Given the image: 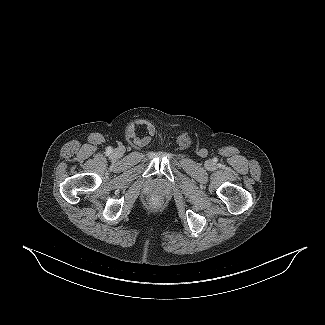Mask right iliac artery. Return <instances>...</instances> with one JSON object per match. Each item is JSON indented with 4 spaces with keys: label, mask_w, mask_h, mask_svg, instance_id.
I'll return each instance as SVG.
<instances>
[{
    "label": "right iliac artery",
    "mask_w": 325,
    "mask_h": 325,
    "mask_svg": "<svg viewBox=\"0 0 325 325\" xmlns=\"http://www.w3.org/2000/svg\"><path fill=\"white\" fill-rule=\"evenodd\" d=\"M106 151H107V153H111L112 152V148L111 147H107Z\"/></svg>",
    "instance_id": "82829eb1"
}]
</instances>
